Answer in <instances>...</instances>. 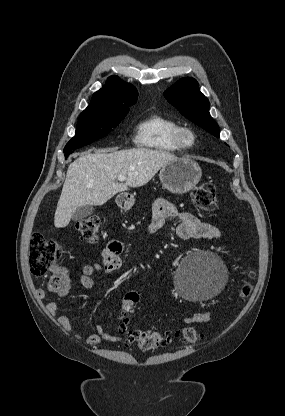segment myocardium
<instances>
[{"label":"myocardium","instance_id":"obj_1","mask_svg":"<svg viewBox=\"0 0 285 416\" xmlns=\"http://www.w3.org/2000/svg\"><path fill=\"white\" fill-rule=\"evenodd\" d=\"M197 135L193 128L180 126L176 133V142L183 150H192L197 145Z\"/></svg>","mask_w":285,"mask_h":416}]
</instances>
